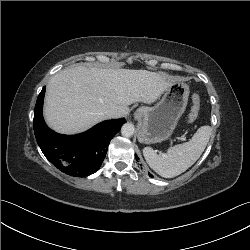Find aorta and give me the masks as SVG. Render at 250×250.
Wrapping results in <instances>:
<instances>
[{
    "mask_svg": "<svg viewBox=\"0 0 250 250\" xmlns=\"http://www.w3.org/2000/svg\"><path fill=\"white\" fill-rule=\"evenodd\" d=\"M135 128L132 123H125L121 128V134L124 137H131L134 134Z\"/></svg>",
    "mask_w": 250,
    "mask_h": 250,
    "instance_id": "1",
    "label": "aorta"
}]
</instances>
